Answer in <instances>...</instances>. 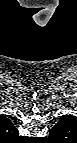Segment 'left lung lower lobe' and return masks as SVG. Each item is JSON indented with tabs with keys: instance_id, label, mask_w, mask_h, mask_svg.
I'll use <instances>...</instances> for the list:
<instances>
[{
	"instance_id": "left-lung-lower-lobe-1",
	"label": "left lung lower lobe",
	"mask_w": 77,
	"mask_h": 143,
	"mask_svg": "<svg viewBox=\"0 0 77 143\" xmlns=\"http://www.w3.org/2000/svg\"><path fill=\"white\" fill-rule=\"evenodd\" d=\"M67 117H68V116H67ZM63 118H66V117L63 116L62 119H63ZM58 136H59V135L54 134V132L50 131V137H51V138H53V137L55 138V137H58Z\"/></svg>"
}]
</instances>
